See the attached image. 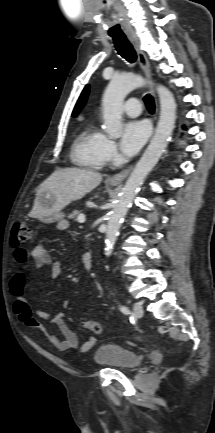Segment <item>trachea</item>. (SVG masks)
<instances>
[{
    "label": "trachea",
    "instance_id": "trachea-1",
    "mask_svg": "<svg viewBox=\"0 0 215 433\" xmlns=\"http://www.w3.org/2000/svg\"><path fill=\"white\" fill-rule=\"evenodd\" d=\"M115 48L119 55H121L124 59H126L128 62L133 63L137 56L136 52L132 46V44L128 41L125 35H114L112 36ZM144 102L146 104L147 109L150 112H154L155 110V103L154 99L151 95H146L144 97Z\"/></svg>",
    "mask_w": 215,
    "mask_h": 433
}]
</instances>
